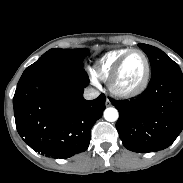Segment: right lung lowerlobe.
Returning <instances> with one entry per match:
<instances>
[{
    "mask_svg": "<svg viewBox=\"0 0 183 183\" xmlns=\"http://www.w3.org/2000/svg\"><path fill=\"white\" fill-rule=\"evenodd\" d=\"M89 78L74 66L21 76L13 98L16 128L39 154L66 159L84 152L101 118L106 97H83Z\"/></svg>",
    "mask_w": 183,
    "mask_h": 183,
    "instance_id": "1",
    "label": "right lung lower lobe"
}]
</instances>
